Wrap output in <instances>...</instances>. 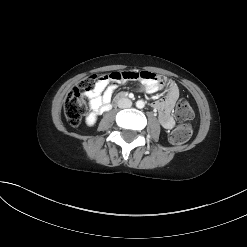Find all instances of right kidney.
I'll list each match as a JSON object with an SVG mask.
<instances>
[{
	"label": "right kidney",
	"mask_w": 247,
	"mask_h": 247,
	"mask_svg": "<svg viewBox=\"0 0 247 247\" xmlns=\"http://www.w3.org/2000/svg\"><path fill=\"white\" fill-rule=\"evenodd\" d=\"M97 120V116L94 112H91L87 117H86V124L88 126H93Z\"/></svg>",
	"instance_id": "right-kidney-1"
}]
</instances>
